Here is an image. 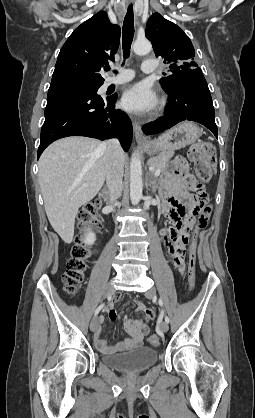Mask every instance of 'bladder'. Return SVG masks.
I'll use <instances>...</instances> for the list:
<instances>
[{
    "label": "bladder",
    "mask_w": 255,
    "mask_h": 418,
    "mask_svg": "<svg viewBox=\"0 0 255 418\" xmlns=\"http://www.w3.org/2000/svg\"><path fill=\"white\" fill-rule=\"evenodd\" d=\"M159 357L157 350L137 346L131 350L103 356V362L116 370L128 373L141 372L154 365Z\"/></svg>",
    "instance_id": "31cf9c89"
}]
</instances>
